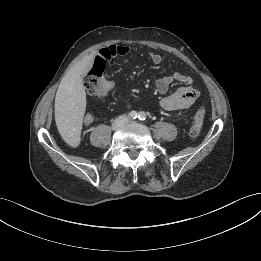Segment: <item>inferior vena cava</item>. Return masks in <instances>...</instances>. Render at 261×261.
<instances>
[{
    "mask_svg": "<svg viewBox=\"0 0 261 261\" xmlns=\"http://www.w3.org/2000/svg\"><path fill=\"white\" fill-rule=\"evenodd\" d=\"M122 119L126 120L127 118L125 116H120L117 120L120 121Z\"/></svg>",
    "mask_w": 261,
    "mask_h": 261,
    "instance_id": "1",
    "label": "inferior vena cava"
}]
</instances>
